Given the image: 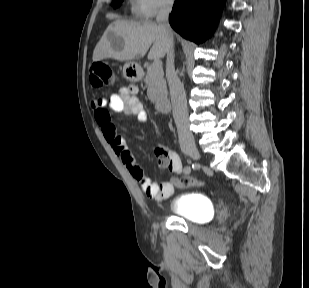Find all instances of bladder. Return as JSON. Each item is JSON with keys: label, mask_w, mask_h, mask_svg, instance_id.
Instances as JSON below:
<instances>
[{"label": "bladder", "mask_w": 309, "mask_h": 288, "mask_svg": "<svg viewBox=\"0 0 309 288\" xmlns=\"http://www.w3.org/2000/svg\"><path fill=\"white\" fill-rule=\"evenodd\" d=\"M169 211L195 224H204L212 214L210 199L201 193L188 192L169 203Z\"/></svg>", "instance_id": "obj_1"}]
</instances>
